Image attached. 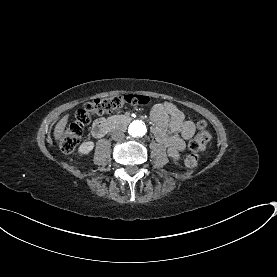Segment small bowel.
<instances>
[{"label":"small bowel","instance_id":"small-bowel-1","mask_svg":"<svg viewBox=\"0 0 277 277\" xmlns=\"http://www.w3.org/2000/svg\"><path fill=\"white\" fill-rule=\"evenodd\" d=\"M155 126L152 132L156 140L165 146L168 155L177 160L185 149V141L195 132V124L187 120L184 114L170 102L153 106L150 112Z\"/></svg>","mask_w":277,"mask_h":277}]
</instances>
